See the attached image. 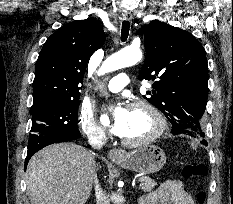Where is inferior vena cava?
Segmentation results:
<instances>
[{
	"label": "inferior vena cava",
	"instance_id": "1",
	"mask_svg": "<svg viewBox=\"0 0 233 204\" xmlns=\"http://www.w3.org/2000/svg\"><path fill=\"white\" fill-rule=\"evenodd\" d=\"M89 142H90V145L94 149L99 150L105 144V139L103 135L95 134L89 138ZM97 168H98V162L95 160L93 162L92 171H97ZM94 185H95V191H96V196H97V204H105L104 202H105L106 196L100 187L96 174L94 175Z\"/></svg>",
	"mask_w": 233,
	"mask_h": 204
}]
</instances>
